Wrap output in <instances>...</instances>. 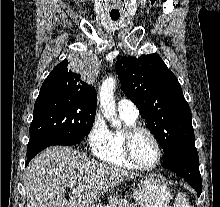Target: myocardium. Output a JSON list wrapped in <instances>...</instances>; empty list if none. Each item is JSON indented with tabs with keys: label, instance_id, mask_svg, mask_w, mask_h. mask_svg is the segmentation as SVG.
I'll return each instance as SVG.
<instances>
[{
	"label": "myocardium",
	"instance_id": "1",
	"mask_svg": "<svg viewBox=\"0 0 220 207\" xmlns=\"http://www.w3.org/2000/svg\"><path fill=\"white\" fill-rule=\"evenodd\" d=\"M139 132H144V133L148 134L151 137V139L153 140V142L157 148L158 156H157V160L153 164L143 165L136 160V158L133 154V149H132L133 139H134L135 135ZM122 145H123V151H124L125 157L132 165H134L138 169L151 170V169H154L155 167H157L161 163V160L163 157V150H162V146L160 144V141L157 138V136L155 135V133L151 129H149L145 126L135 124V125L127 127L123 132Z\"/></svg>",
	"mask_w": 220,
	"mask_h": 207
}]
</instances>
